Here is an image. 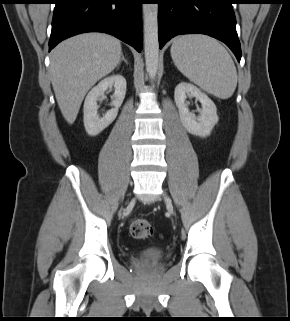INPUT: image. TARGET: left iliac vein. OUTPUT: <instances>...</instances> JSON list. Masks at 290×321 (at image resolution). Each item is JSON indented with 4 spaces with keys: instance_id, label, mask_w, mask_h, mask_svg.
Wrapping results in <instances>:
<instances>
[{
    "instance_id": "4c4485c4",
    "label": "left iliac vein",
    "mask_w": 290,
    "mask_h": 321,
    "mask_svg": "<svg viewBox=\"0 0 290 321\" xmlns=\"http://www.w3.org/2000/svg\"><path fill=\"white\" fill-rule=\"evenodd\" d=\"M163 197H164V201L166 203L168 210L172 211L173 205H172L171 199L165 194L163 195Z\"/></svg>"
}]
</instances>
